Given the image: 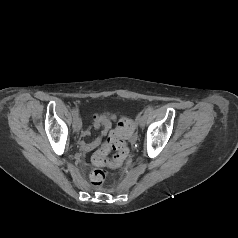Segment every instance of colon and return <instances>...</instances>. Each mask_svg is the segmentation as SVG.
Returning <instances> with one entry per match:
<instances>
[{"label": "colon", "instance_id": "obj_1", "mask_svg": "<svg viewBox=\"0 0 238 238\" xmlns=\"http://www.w3.org/2000/svg\"><path fill=\"white\" fill-rule=\"evenodd\" d=\"M135 131L133 122L129 119L123 118L119 121L117 127L110 133L108 142L101 150L96 152L92 157V162L99 167L93 170L90 174V179L93 185H101L107 176V172L100 168L106 166L110 170H116L120 167L122 161L128 154V148L125 140L132 136ZM116 151L114 157H107L109 150Z\"/></svg>", "mask_w": 238, "mask_h": 238}]
</instances>
